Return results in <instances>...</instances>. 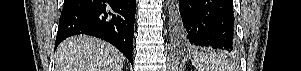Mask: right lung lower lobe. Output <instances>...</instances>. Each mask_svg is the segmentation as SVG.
<instances>
[{
    "mask_svg": "<svg viewBox=\"0 0 301 71\" xmlns=\"http://www.w3.org/2000/svg\"><path fill=\"white\" fill-rule=\"evenodd\" d=\"M136 0H65L55 45L86 34L118 48L132 63Z\"/></svg>",
    "mask_w": 301,
    "mask_h": 71,
    "instance_id": "right-lung-lower-lobe-1",
    "label": "right lung lower lobe"
}]
</instances>
